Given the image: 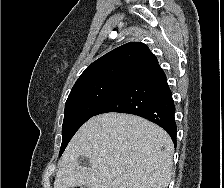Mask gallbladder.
<instances>
[{
	"label": "gallbladder",
	"instance_id": "gallbladder-1",
	"mask_svg": "<svg viewBox=\"0 0 224 188\" xmlns=\"http://www.w3.org/2000/svg\"><path fill=\"white\" fill-rule=\"evenodd\" d=\"M80 188H90L88 185L80 186Z\"/></svg>",
	"mask_w": 224,
	"mask_h": 188
}]
</instances>
